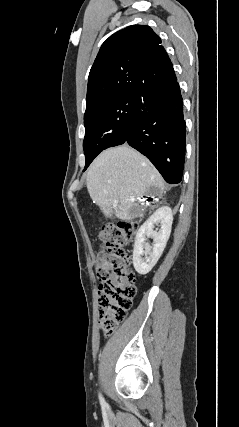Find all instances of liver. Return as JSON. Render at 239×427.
<instances>
[{
  "label": "liver",
  "instance_id": "6515ba94",
  "mask_svg": "<svg viewBox=\"0 0 239 427\" xmlns=\"http://www.w3.org/2000/svg\"><path fill=\"white\" fill-rule=\"evenodd\" d=\"M151 188L163 193L162 176L127 144L103 151L87 172L89 195L106 217L114 214L118 219L132 220L141 209L140 199L151 194Z\"/></svg>",
  "mask_w": 239,
  "mask_h": 427
}]
</instances>
